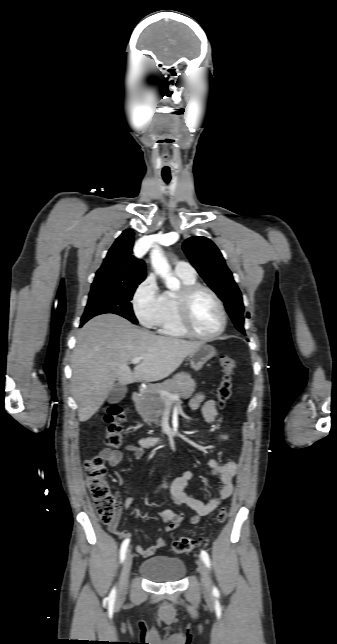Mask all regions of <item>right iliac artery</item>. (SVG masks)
Returning a JSON list of instances; mask_svg holds the SVG:
<instances>
[{
	"label": "right iliac artery",
	"instance_id": "1",
	"mask_svg": "<svg viewBox=\"0 0 337 644\" xmlns=\"http://www.w3.org/2000/svg\"><path fill=\"white\" fill-rule=\"evenodd\" d=\"M130 539H126L123 541L121 548H120V561L123 562L126 556L127 548L129 545ZM116 596V590L115 588L111 591L109 595V599L114 601Z\"/></svg>",
	"mask_w": 337,
	"mask_h": 644
}]
</instances>
